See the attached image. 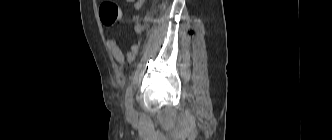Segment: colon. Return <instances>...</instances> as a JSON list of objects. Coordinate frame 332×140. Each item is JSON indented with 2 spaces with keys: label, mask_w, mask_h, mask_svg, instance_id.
<instances>
[{
  "label": "colon",
  "mask_w": 332,
  "mask_h": 140,
  "mask_svg": "<svg viewBox=\"0 0 332 140\" xmlns=\"http://www.w3.org/2000/svg\"><path fill=\"white\" fill-rule=\"evenodd\" d=\"M100 18L104 25L114 26L122 20L120 7L112 0H104L99 8Z\"/></svg>",
  "instance_id": "1"
}]
</instances>
